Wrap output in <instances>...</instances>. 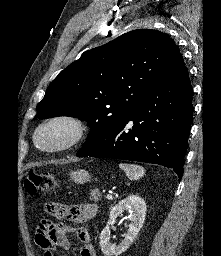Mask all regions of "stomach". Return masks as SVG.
I'll return each instance as SVG.
<instances>
[{
	"label": "stomach",
	"instance_id": "obj_1",
	"mask_svg": "<svg viewBox=\"0 0 221 256\" xmlns=\"http://www.w3.org/2000/svg\"><path fill=\"white\" fill-rule=\"evenodd\" d=\"M70 178L77 184H84L90 181L91 176L88 171L84 169H78L70 173Z\"/></svg>",
	"mask_w": 221,
	"mask_h": 256
}]
</instances>
